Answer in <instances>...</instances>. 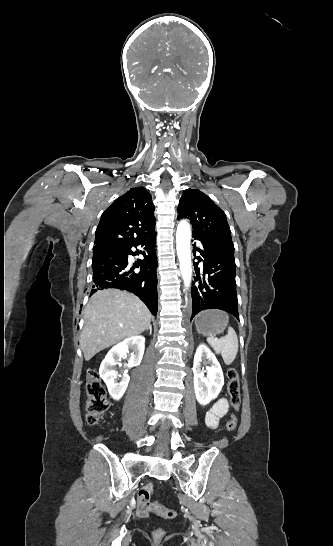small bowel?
Wrapping results in <instances>:
<instances>
[{
	"label": "small bowel",
	"mask_w": 333,
	"mask_h": 546,
	"mask_svg": "<svg viewBox=\"0 0 333 546\" xmlns=\"http://www.w3.org/2000/svg\"><path fill=\"white\" fill-rule=\"evenodd\" d=\"M229 411V405L225 399L218 400L205 415V424L211 430H216L220 420ZM152 497V486L148 485L141 489L137 496V515L147 516L150 510V501Z\"/></svg>",
	"instance_id": "1"
}]
</instances>
